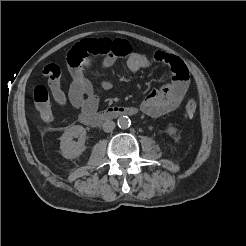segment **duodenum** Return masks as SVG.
<instances>
[{
	"label": "duodenum",
	"mask_w": 246,
	"mask_h": 246,
	"mask_svg": "<svg viewBox=\"0 0 246 246\" xmlns=\"http://www.w3.org/2000/svg\"><path fill=\"white\" fill-rule=\"evenodd\" d=\"M136 113L137 109L132 106H112L98 112L82 113L80 121L90 127H99L106 121L122 116H133Z\"/></svg>",
	"instance_id": "duodenum-1"
}]
</instances>
